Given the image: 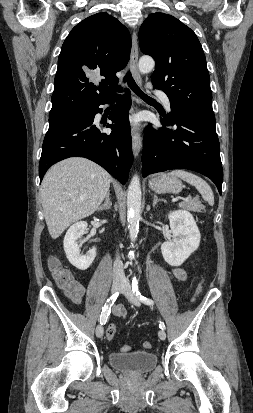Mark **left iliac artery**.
Instances as JSON below:
<instances>
[{
	"mask_svg": "<svg viewBox=\"0 0 253 413\" xmlns=\"http://www.w3.org/2000/svg\"><path fill=\"white\" fill-rule=\"evenodd\" d=\"M132 291H133V293L136 295V297H137L142 303H144L145 305H149V306H153V305H154V301H153L152 299L147 298V297L141 295V292H140L139 289H138V282H137V280H136L135 277L133 278V281H132ZM159 327H160L162 330H164V329L166 328V327H165V324H164L163 322H160Z\"/></svg>",
	"mask_w": 253,
	"mask_h": 413,
	"instance_id": "44dca946",
	"label": "left iliac artery"
}]
</instances>
